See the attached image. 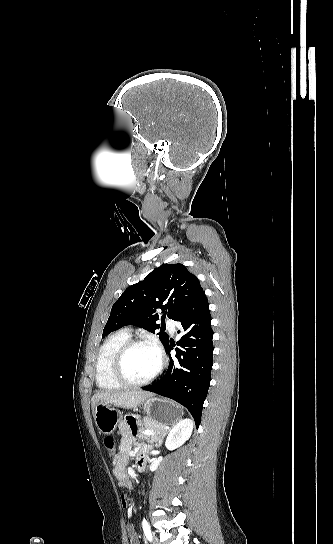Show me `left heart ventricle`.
I'll list each match as a JSON object with an SVG mask.
<instances>
[{
  "label": "left heart ventricle",
  "instance_id": "1",
  "mask_svg": "<svg viewBox=\"0 0 333 544\" xmlns=\"http://www.w3.org/2000/svg\"><path fill=\"white\" fill-rule=\"evenodd\" d=\"M156 351L148 346H136L127 354L124 362L126 376L132 381L148 378L158 366Z\"/></svg>",
  "mask_w": 333,
  "mask_h": 544
}]
</instances>
